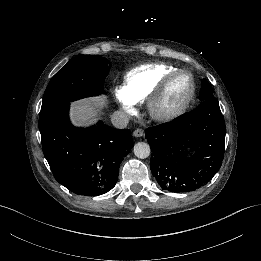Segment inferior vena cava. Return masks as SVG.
<instances>
[{
    "mask_svg": "<svg viewBox=\"0 0 261 261\" xmlns=\"http://www.w3.org/2000/svg\"><path fill=\"white\" fill-rule=\"evenodd\" d=\"M111 122H112L113 126H115L116 128L124 129L127 127L128 123H129V118L126 115V113H124L122 111H115L111 115Z\"/></svg>",
    "mask_w": 261,
    "mask_h": 261,
    "instance_id": "inferior-vena-cava-1",
    "label": "inferior vena cava"
}]
</instances>
